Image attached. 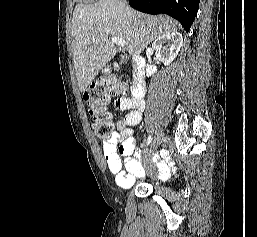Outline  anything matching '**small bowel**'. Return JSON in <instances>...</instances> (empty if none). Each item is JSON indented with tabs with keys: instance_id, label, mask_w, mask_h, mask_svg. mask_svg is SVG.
<instances>
[{
	"instance_id": "c3829d8e",
	"label": "small bowel",
	"mask_w": 257,
	"mask_h": 237,
	"mask_svg": "<svg viewBox=\"0 0 257 237\" xmlns=\"http://www.w3.org/2000/svg\"><path fill=\"white\" fill-rule=\"evenodd\" d=\"M114 104L118 109L127 111V113L116 122L117 131L113 132L110 140L103 144L102 155L117 184L127 188L134 183L137 177H142L145 173L140 162L142 155L136 148L131 128L140 123L145 101L133 97H123L116 100ZM158 171L161 178H168L171 175L172 167L169 163L161 161Z\"/></svg>"
}]
</instances>
